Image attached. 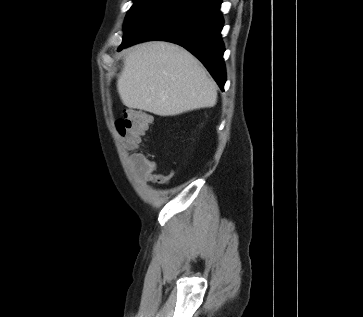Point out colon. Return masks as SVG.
I'll return each instance as SVG.
<instances>
[{"mask_svg":"<svg viewBox=\"0 0 363 317\" xmlns=\"http://www.w3.org/2000/svg\"><path fill=\"white\" fill-rule=\"evenodd\" d=\"M151 123L152 117L146 112L135 109L124 111L123 116L116 121V129L127 150H134L138 147ZM140 155V153H135L132 156L133 163L140 161Z\"/></svg>","mask_w":363,"mask_h":317,"instance_id":"obj_1","label":"colon"}]
</instances>
